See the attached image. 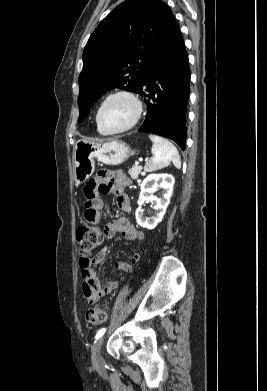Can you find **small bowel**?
<instances>
[{
	"label": "small bowel",
	"instance_id": "1",
	"mask_svg": "<svg viewBox=\"0 0 267 391\" xmlns=\"http://www.w3.org/2000/svg\"><path fill=\"white\" fill-rule=\"evenodd\" d=\"M129 180L121 171L103 170L96 177L91 179L84 187L85 210L84 220L89 225H96L102 219L104 201L101 195L113 193L116 195V203L121 211L128 212L131 203L125 188ZM116 234L132 243L141 242L144 239L142 231L135 228L125 217H118L109 222L104 230L103 235L110 239ZM108 253L105 247L95 254L92 258H81L79 266L82 274V290L89 303H94L106 294L113 292L119 284L115 281L102 283L99 274L94 270V266L102 263ZM140 258L139 254L133 256L132 262L136 263ZM115 269L124 273L131 271L132 266L127 262L120 260L115 263Z\"/></svg>",
	"mask_w": 267,
	"mask_h": 391
}]
</instances>
